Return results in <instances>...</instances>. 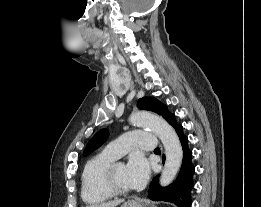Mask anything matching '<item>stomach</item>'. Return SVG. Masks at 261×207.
I'll list each match as a JSON object with an SVG mask.
<instances>
[{
    "label": "stomach",
    "instance_id": "obj_1",
    "mask_svg": "<svg viewBox=\"0 0 261 207\" xmlns=\"http://www.w3.org/2000/svg\"><path fill=\"white\" fill-rule=\"evenodd\" d=\"M121 207H155L147 200H128Z\"/></svg>",
    "mask_w": 261,
    "mask_h": 207
}]
</instances>
